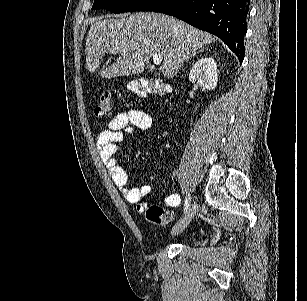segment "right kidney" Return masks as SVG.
<instances>
[{"label":"right kidney","instance_id":"obj_1","mask_svg":"<svg viewBox=\"0 0 307 301\" xmlns=\"http://www.w3.org/2000/svg\"><path fill=\"white\" fill-rule=\"evenodd\" d=\"M189 80L208 90L215 88L218 82V68L214 58L203 56L197 60L189 72Z\"/></svg>","mask_w":307,"mask_h":301}]
</instances>
